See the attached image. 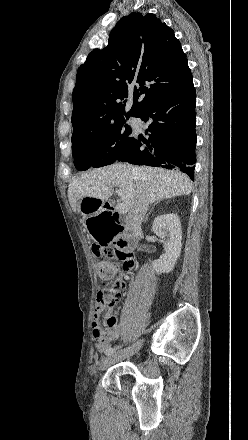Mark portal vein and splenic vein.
Returning a JSON list of instances; mask_svg holds the SVG:
<instances>
[{"label": "portal vein and splenic vein", "mask_w": 248, "mask_h": 440, "mask_svg": "<svg viewBox=\"0 0 248 440\" xmlns=\"http://www.w3.org/2000/svg\"><path fill=\"white\" fill-rule=\"evenodd\" d=\"M116 209L118 211H120L121 213H126L127 212V209H126V207H125V205L123 203H118L117 206H116Z\"/></svg>", "instance_id": "18ae733b"}]
</instances>
